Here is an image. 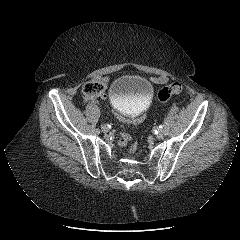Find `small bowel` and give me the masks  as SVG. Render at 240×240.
<instances>
[{
    "mask_svg": "<svg viewBox=\"0 0 240 240\" xmlns=\"http://www.w3.org/2000/svg\"><path fill=\"white\" fill-rule=\"evenodd\" d=\"M152 82L155 83V84H164L167 82V77L166 76H159V77H154V78H151ZM101 99L102 100H107L108 99V94L107 93H102L101 94ZM112 118L119 124L121 125H124V126H129V127H139L141 125H143L144 123L147 122L148 120V115L147 114H142L139 118L137 119H133V118H126V117H123L121 116L118 112H113L112 113ZM135 140V137L134 135L132 134H126V133H123L122 136H121V139L119 140V146L121 147H124L127 145V143H132L134 142Z\"/></svg>",
    "mask_w": 240,
    "mask_h": 240,
    "instance_id": "small-bowel-1",
    "label": "small bowel"
}]
</instances>
